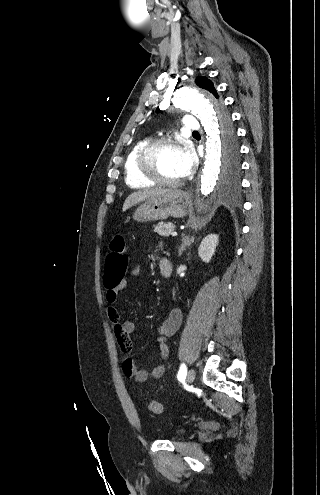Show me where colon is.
Returning a JSON list of instances; mask_svg holds the SVG:
<instances>
[{
  "mask_svg": "<svg viewBox=\"0 0 320 495\" xmlns=\"http://www.w3.org/2000/svg\"><path fill=\"white\" fill-rule=\"evenodd\" d=\"M129 262V256L125 246V240L117 235L110 243L104 266V279L107 286H115L124 277ZM148 408L154 414H160L163 406L159 401L151 400Z\"/></svg>",
  "mask_w": 320,
  "mask_h": 495,
  "instance_id": "5ec220e1",
  "label": "colon"
}]
</instances>
